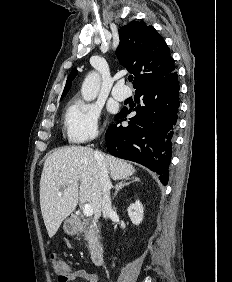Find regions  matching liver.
Instances as JSON below:
<instances>
[{
  "instance_id": "6515ba94",
  "label": "liver",
  "mask_w": 232,
  "mask_h": 282,
  "mask_svg": "<svg viewBox=\"0 0 232 282\" xmlns=\"http://www.w3.org/2000/svg\"><path fill=\"white\" fill-rule=\"evenodd\" d=\"M94 151L69 146L55 150L44 163L40 180V206L49 237L76 208L78 201L89 203L95 217L101 215L102 186ZM114 180L127 179L135 168L124 160L102 155Z\"/></svg>"
}]
</instances>
